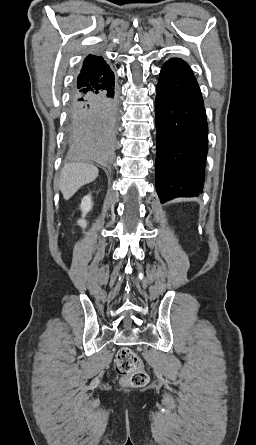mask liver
I'll list each match as a JSON object with an SVG mask.
<instances>
[{"label":"liver","mask_w":256,"mask_h":445,"mask_svg":"<svg viewBox=\"0 0 256 445\" xmlns=\"http://www.w3.org/2000/svg\"><path fill=\"white\" fill-rule=\"evenodd\" d=\"M98 168L90 163H69L62 171L58 187L64 199L71 198L83 185L93 182L98 176Z\"/></svg>","instance_id":"1"}]
</instances>
